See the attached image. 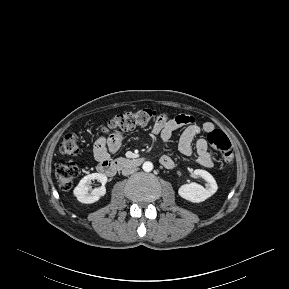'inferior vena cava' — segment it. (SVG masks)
Instances as JSON below:
<instances>
[{"label": "inferior vena cava", "mask_w": 289, "mask_h": 289, "mask_svg": "<svg viewBox=\"0 0 289 289\" xmlns=\"http://www.w3.org/2000/svg\"><path fill=\"white\" fill-rule=\"evenodd\" d=\"M136 170H137L136 167H132V166H130V167H125V168L122 170V174H123L124 176H127V175H130V174L134 173Z\"/></svg>", "instance_id": "obj_1"}]
</instances>
